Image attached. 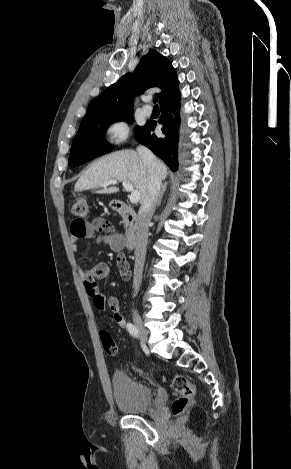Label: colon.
I'll return each mask as SVG.
<instances>
[{"mask_svg":"<svg viewBox=\"0 0 291 469\" xmlns=\"http://www.w3.org/2000/svg\"><path fill=\"white\" fill-rule=\"evenodd\" d=\"M71 214L77 218V220L84 221L90 215V206L88 199L84 196H78L75 198L71 206ZM119 271L121 277L125 280L131 276L130 266L127 260L123 257L117 259ZM106 296L101 294L95 296L92 299L93 305L97 312H103L107 306ZM100 339L104 351L109 355H115L117 353V346L107 331L100 332ZM172 388L179 395L178 398L172 403V412L175 415H179L192 403L195 394V386L183 375H175L172 379Z\"/></svg>","mask_w":291,"mask_h":469,"instance_id":"5ec220e1","label":"colon"}]
</instances>
